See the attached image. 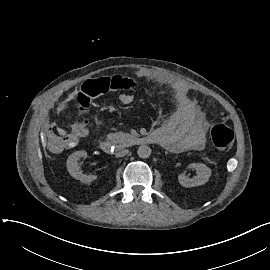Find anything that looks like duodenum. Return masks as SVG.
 Wrapping results in <instances>:
<instances>
[{
	"instance_id": "410a0bca",
	"label": "duodenum",
	"mask_w": 270,
	"mask_h": 270,
	"mask_svg": "<svg viewBox=\"0 0 270 270\" xmlns=\"http://www.w3.org/2000/svg\"><path fill=\"white\" fill-rule=\"evenodd\" d=\"M133 143L138 146L150 145V144H160V137L155 133H150L143 136H138L133 139ZM100 149L105 153L113 152L114 145L110 140H103L100 143Z\"/></svg>"
}]
</instances>
